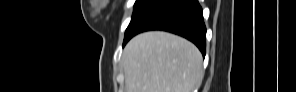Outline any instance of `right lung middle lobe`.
Masks as SVG:
<instances>
[{"label":"right lung middle lobe","instance_id":"obj_1","mask_svg":"<svg viewBox=\"0 0 296 92\" xmlns=\"http://www.w3.org/2000/svg\"><path fill=\"white\" fill-rule=\"evenodd\" d=\"M155 0H136L134 5V12L131 22L126 29L125 35L128 34L133 24L141 16V14L154 2Z\"/></svg>","mask_w":296,"mask_h":92}]
</instances>
